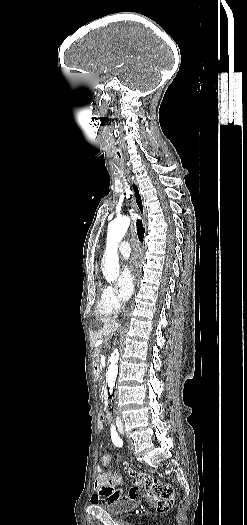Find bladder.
<instances>
[{"label": "bladder", "mask_w": 247, "mask_h": 525, "mask_svg": "<svg viewBox=\"0 0 247 525\" xmlns=\"http://www.w3.org/2000/svg\"><path fill=\"white\" fill-rule=\"evenodd\" d=\"M140 503L137 505H129L128 502L124 499H119L113 502H99L98 507H100L102 510L107 512L109 515H120V514H128L131 511H133L137 506H139Z\"/></svg>", "instance_id": "1"}]
</instances>
